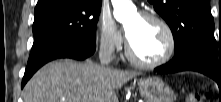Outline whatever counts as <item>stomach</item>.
<instances>
[{
    "instance_id": "stomach-1",
    "label": "stomach",
    "mask_w": 221,
    "mask_h": 102,
    "mask_svg": "<svg viewBox=\"0 0 221 102\" xmlns=\"http://www.w3.org/2000/svg\"><path fill=\"white\" fill-rule=\"evenodd\" d=\"M140 95L146 102H174V91L160 78L152 77L138 81Z\"/></svg>"
}]
</instances>
